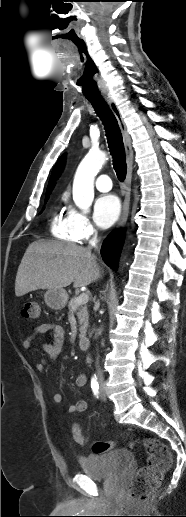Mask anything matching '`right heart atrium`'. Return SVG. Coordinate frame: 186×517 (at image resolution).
<instances>
[{"mask_svg":"<svg viewBox=\"0 0 186 517\" xmlns=\"http://www.w3.org/2000/svg\"><path fill=\"white\" fill-rule=\"evenodd\" d=\"M67 215L77 240L88 241L97 235L96 227L85 213L69 207Z\"/></svg>","mask_w":186,"mask_h":517,"instance_id":"1","label":"right heart atrium"}]
</instances>
